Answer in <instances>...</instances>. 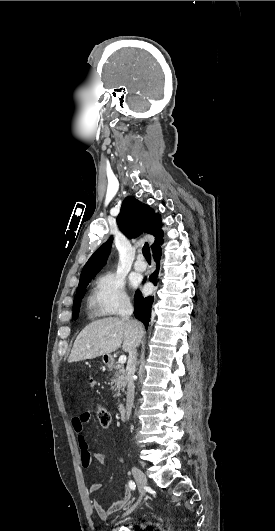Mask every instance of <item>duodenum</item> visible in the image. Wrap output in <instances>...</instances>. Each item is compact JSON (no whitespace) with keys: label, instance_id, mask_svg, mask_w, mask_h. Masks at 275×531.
I'll use <instances>...</instances> for the list:
<instances>
[{"label":"duodenum","instance_id":"obj_1","mask_svg":"<svg viewBox=\"0 0 275 531\" xmlns=\"http://www.w3.org/2000/svg\"><path fill=\"white\" fill-rule=\"evenodd\" d=\"M105 362L109 366H113L114 365V360H113L112 356H105ZM118 413H119L121 418H125V416H126V405L124 403H121L118 406Z\"/></svg>","mask_w":275,"mask_h":531}]
</instances>
